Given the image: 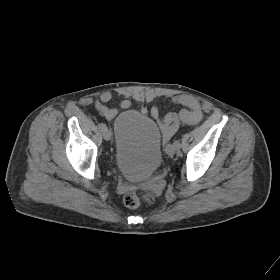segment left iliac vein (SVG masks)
<instances>
[{
    "label": "left iliac vein",
    "instance_id": "1",
    "mask_svg": "<svg viewBox=\"0 0 280 280\" xmlns=\"http://www.w3.org/2000/svg\"><path fill=\"white\" fill-rule=\"evenodd\" d=\"M165 150L168 155L172 156L175 154L177 148L173 144H168Z\"/></svg>",
    "mask_w": 280,
    "mask_h": 280
}]
</instances>
